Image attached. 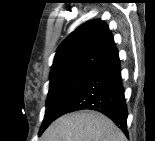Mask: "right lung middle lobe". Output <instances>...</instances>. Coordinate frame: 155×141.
<instances>
[{
    "mask_svg": "<svg viewBox=\"0 0 155 141\" xmlns=\"http://www.w3.org/2000/svg\"><path fill=\"white\" fill-rule=\"evenodd\" d=\"M94 71L95 70L93 69L78 68L50 77V87L46 101V112L39 131V136L55 119L60 116L62 107Z\"/></svg>",
    "mask_w": 155,
    "mask_h": 141,
    "instance_id": "right-lung-middle-lobe-1",
    "label": "right lung middle lobe"
}]
</instances>
